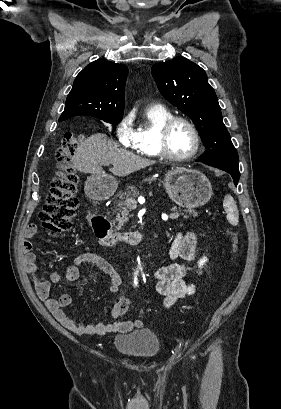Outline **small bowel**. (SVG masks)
<instances>
[{
    "mask_svg": "<svg viewBox=\"0 0 281 409\" xmlns=\"http://www.w3.org/2000/svg\"><path fill=\"white\" fill-rule=\"evenodd\" d=\"M37 233L35 224H30L26 229V237L33 238ZM25 253L24 261L26 271L35 287L38 298L46 305L53 316L67 329L78 335H107L125 334L135 328H142L141 320H115L112 323L98 322L84 324L76 322L68 315L64 308L71 304L72 298L69 294H62L58 299L50 297L52 283H58L65 279L75 281L79 278L81 269L85 264H92L105 273L109 280L106 288L109 294L115 296L114 306L111 311L113 319L123 316L130 305L127 295L121 294L122 278L116 269L103 257L96 254H81L77 256L74 263L67 266L63 273L53 272L47 280L38 274L35 263V254L31 251L32 244L29 240L23 243ZM196 236L192 232H179L175 235L168 249L167 256L174 261L181 259L185 262L193 260L196 256ZM188 267L184 263H171L157 268L153 273L156 292L163 297L164 306L170 308L177 301L182 300L195 293V286L187 280Z\"/></svg>",
    "mask_w": 281,
    "mask_h": 409,
    "instance_id": "1",
    "label": "small bowel"
}]
</instances>
